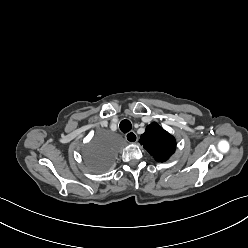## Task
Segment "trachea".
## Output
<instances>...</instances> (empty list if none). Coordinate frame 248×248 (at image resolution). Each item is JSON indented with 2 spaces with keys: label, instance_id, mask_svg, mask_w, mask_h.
<instances>
[{
  "label": "trachea",
  "instance_id": "trachea-1",
  "mask_svg": "<svg viewBox=\"0 0 248 248\" xmlns=\"http://www.w3.org/2000/svg\"><path fill=\"white\" fill-rule=\"evenodd\" d=\"M132 128V124L129 120H122L120 122V130L123 132V133H127L131 130Z\"/></svg>",
  "mask_w": 248,
  "mask_h": 248
}]
</instances>
